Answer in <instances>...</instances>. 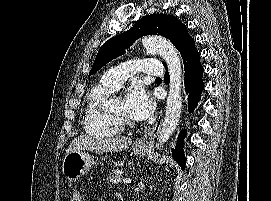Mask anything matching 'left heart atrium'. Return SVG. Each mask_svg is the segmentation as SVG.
<instances>
[{
  "mask_svg": "<svg viewBox=\"0 0 271 201\" xmlns=\"http://www.w3.org/2000/svg\"><path fill=\"white\" fill-rule=\"evenodd\" d=\"M124 104L128 115L137 121L147 119L155 109L153 98L141 85H135L130 89Z\"/></svg>",
  "mask_w": 271,
  "mask_h": 201,
  "instance_id": "39dd6f15",
  "label": "left heart atrium"
}]
</instances>
